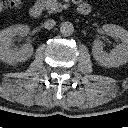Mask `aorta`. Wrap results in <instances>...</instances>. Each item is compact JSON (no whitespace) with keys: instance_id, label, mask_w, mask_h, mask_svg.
<instances>
[{"instance_id":"762f6f07","label":"aorta","mask_w":128,"mask_h":128,"mask_svg":"<svg viewBox=\"0 0 128 128\" xmlns=\"http://www.w3.org/2000/svg\"><path fill=\"white\" fill-rule=\"evenodd\" d=\"M60 32L64 36L72 35L73 32H74L73 24L69 21L62 22L61 25H60Z\"/></svg>"}]
</instances>
